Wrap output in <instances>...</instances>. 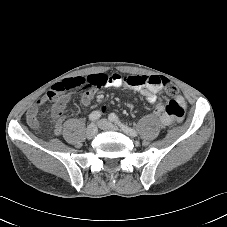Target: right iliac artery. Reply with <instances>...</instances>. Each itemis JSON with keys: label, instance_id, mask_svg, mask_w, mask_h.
I'll return each mask as SVG.
<instances>
[{"label": "right iliac artery", "instance_id": "1", "mask_svg": "<svg viewBox=\"0 0 227 227\" xmlns=\"http://www.w3.org/2000/svg\"><path fill=\"white\" fill-rule=\"evenodd\" d=\"M101 117V113L99 111H93L90 115H89V120L90 121H96Z\"/></svg>", "mask_w": 227, "mask_h": 227}]
</instances>
